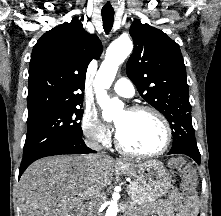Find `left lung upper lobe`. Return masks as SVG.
I'll use <instances>...</instances> for the list:
<instances>
[{"label": "left lung upper lobe", "instance_id": "5c2ea615", "mask_svg": "<svg viewBox=\"0 0 221 216\" xmlns=\"http://www.w3.org/2000/svg\"><path fill=\"white\" fill-rule=\"evenodd\" d=\"M130 35L134 50L126 71L138 92L169 121L171 150L200 154L191 121L186 68L179 45L164 32L134 20Z\"/></svg>", "mask_w": 221, "mask_h": 216}]
</instances>
